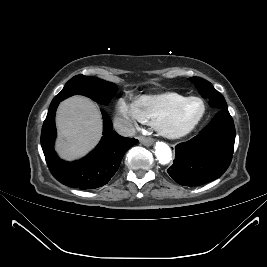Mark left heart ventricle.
I'll return each mask as SVG.
<instances>
[{
  "instance_id": "b2bd125f",
  "label": "left heart ventricle",
  "mask_w": 267,
  "mask_h": 267,
  "mask_svg": "<svg viewBox=\"0 0 267 267\" xmlns=\"http://www.w3.org/2000/svg\"><path fill=\"white\" fill-rule=\"evenodd\" d=\"M202 111V104L198 100H191L185 104L174 120L170 123V127L175 130L183 129L194 122Z\"/></svg>"
}]
</instances>
